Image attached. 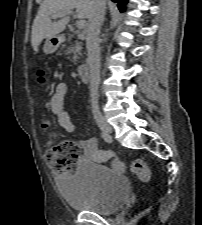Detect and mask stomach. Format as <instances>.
<instances>
[{"label":"stomach","mask_w":202,"mask_h":225,"mask_svg":"<svg viewBox=\"0 0 202 225\" xmlns=\"http://www.w3.org/2000/svg\"><path fill=\"white\" fill-rule=\"evenodd\" d=\"M57 48V45L52 43V38H48L44 45V52L46 54L52 53Z\"/></svg>","instance_id":"1"}]
</instances>
